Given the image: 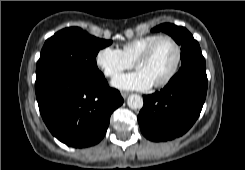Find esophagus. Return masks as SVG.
Instances as JSON below:
<instances>
[{
    "label": "esophagus",
    "instance_id": "esophagus-1",
    "mask_svg": "<svg viewBox=\"0 0 245 170\" xmlns=\"http://www.w3.org/2000/svg\"><path fill=\"white\" fill-rule=\"evenodd\" d=\"M121 95H122V97H123L124 99H126L127 96L129 95V93H127V92H122Z\"/></svg>",
    "mask_w": 245,
    "mask_h": 170
}]
</instances>
